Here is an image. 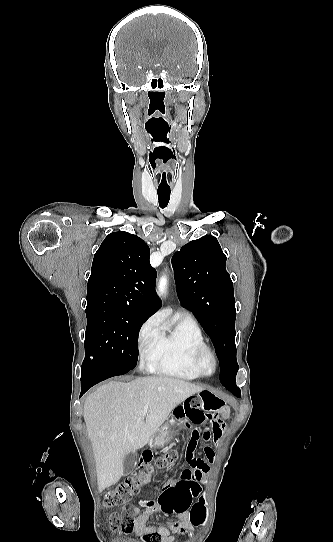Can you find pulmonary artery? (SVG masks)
I'll use <instances>...</instances> for the list:
<instances>
[{
	"label": "pulmonary artery",
	"instance_id": "e3ab8cb5",
	"mask_svg": "<svg viewBox=\"0 0 333 542\" xmlns=\"http://www.w3.org/2000/svg\"><path fill=\"white\" fill-rule=\"evenodd\" d=\"M186 315L190 316L191 317V314L189 312H186Z\"/></svg>",
	"mask_w": 333,
	"mask_h": 542
}]
</instances>
